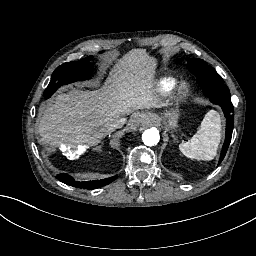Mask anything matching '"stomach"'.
<instances>
[{
	"label": "stomach",
	"mask_w": 256,
	"mask_h": 256,
	"mask_svg": "<svg viewBox=\"0 0 256 256\" xmlns=\"http://www.w3.org/2000/svg\"><path fill=\"white\" fill-rule=\"evenodd\" d=\"M154 114H156L157 117H154L153 119L150 118L152 123L158 122V124L162 125L166 130H171L177 126V115L172 109L162 114Z\"/></svg>",
	"instance_id": "1"
}]
</instances>
